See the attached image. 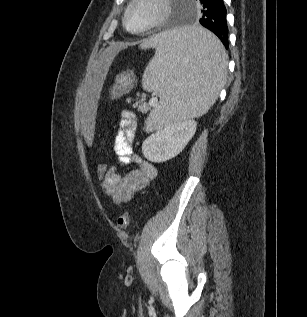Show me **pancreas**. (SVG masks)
Masks as SVG:
<instances>
[{
    "mask_svg": "<svg viewBox=\"0 0 307 317\" xmlns=\"http://www.w3.org/2000/svg\"><path fill=\"white\" fill-rule=\"evenodd\" d=\"M140 109H141L142 111H146V110L149 109V106H148L146 103H144V104L141 106Z\"/></svg>",
    "mask_w": 307,
    "mask_h": 317,
    "instance_id": "obj_1",
    "label": "pancreas"
}]
</instances>
